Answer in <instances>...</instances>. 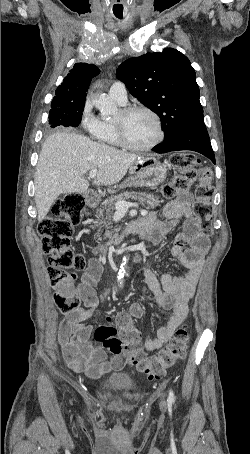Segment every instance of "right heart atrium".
<instances>
[{
	"mask_svg": "<svg viewBox=\"0 0 250 454\" xmlns=\"http://www.w3.org/2000/svg\"><path fill=\"white\" fill-rule=\"evenodd\" d=\"M81 122L83 128L91 134H93V132L96 131V129L98 128L99 125L98 118L92 114L91 105L89 102H86L83 108Z\"/></svg>",
	"mask_w": 250,
	"mask_h": 454,
	"instance_id": "right-heart-atrium-1",
	"label": "right heart atrium"
}]
</instances>
